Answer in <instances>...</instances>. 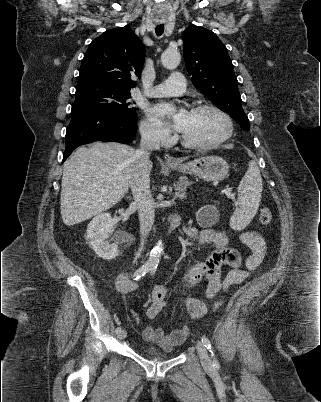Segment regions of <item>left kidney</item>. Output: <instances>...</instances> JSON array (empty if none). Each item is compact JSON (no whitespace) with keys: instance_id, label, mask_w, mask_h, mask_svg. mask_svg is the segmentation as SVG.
<instances>
[{"instance_id":"obj_1","label":"left kidney","mask_w":321,"mask_h":402,"mask_svg":"<svg viewBox=\"0 0 321 402\" xmlns=\"http://www.w3.org/2000/svg\"><path fill=\"white\" fill-rule=\"evenodd\" d=\"M219 219V212L215 206L208 205L200 208L196 213V220L200 225L212 226Z\"/></svg>"}]
</instances>
